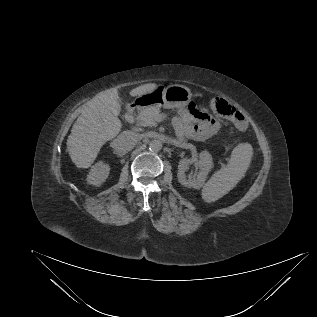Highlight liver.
Instances as JSON below:
<instances>
[{"mask_svg":"<svg viewBox=\"0 0 317 317\" xmlns=\"http://www.w3.org/2000/svg\"><path fill=\"white\" fill-rule=\"evenodd\" d=\"M157 87L154 83L144 84L131 90L130 95L138 97ZM120 112L117 88L98 93L84 107L67 140V152L77 168H89L102 146L119 134L122 127L118 118Z\"/></svg>","mask_w":317,"mask_h":317,"instance_id":"6515ba94","label":"liver"}]
</instances>
